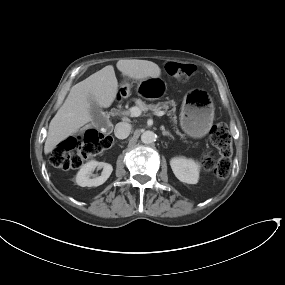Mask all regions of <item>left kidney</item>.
<instances>
[{
    "label": "left kidney",
    "instance_id": "left-kidney-1",
    "mask_svg": "<svg viewBox=\"0 0 285 285\" xmlns=\"http://www.w3.org/2000/svg\"><path fill=\"white\" fill-rule=\"evenodd\" d=\"M173 173L181 182L196 184L199 179L200 166L192 159L174 157L170 160Z\"/></svg>",
    "mask_w": 285,
    "mask_h": 285
}]
</instances>
